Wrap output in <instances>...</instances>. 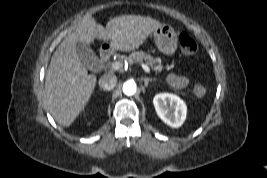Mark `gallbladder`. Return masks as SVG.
Instances as JSON below:
<instances>
[{"label": "gallbladder", "instance_id": "bac80fb5", "mask_svg": "<svg viewBox=\"0 0 267 178\" xmlns=\"http://www.w3.org/2000/svg\"><path fill=\"white\" fill-rule=\"evenodd\" d=\"M80 55L84 59V61H86V62L95 59L93 54L90 53L88 50H85V49L80 50Z\"/></svg>", "mask_w": 267, "mask_h": 178}]
</instances>
